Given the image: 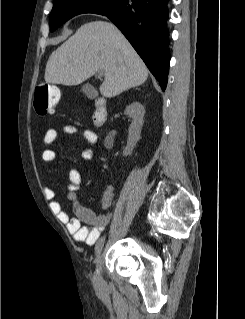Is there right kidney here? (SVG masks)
Returning a JSON list of instances; mask_svg holds the SVG:
<instances>
[{"mask_svg": "<svg viewBox=\"0 0 245 319\" xmlns=\"http://www.w3.org/2000/svg\"><path fill=\"white\" fill-rule=\"evenodd\" d=\"M124 113L132 118V123L129 126L127 146L123 151V155L128 156L132 153L136 143L140 139L141 129L144 124L143 118L145 114V108L141 103L133 102L126 108Z\"/></svg>", "mask_w": 245, "mask_h": 319, "instance_id": "ca27d5eb", "label": "right kidney"}]
</instances>
